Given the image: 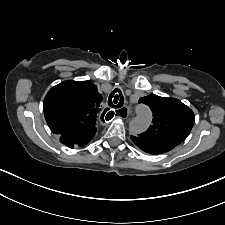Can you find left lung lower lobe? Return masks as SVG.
<instances>
[{"label": "left lung lower lobe", "instance_id": "obj_1", "mask_svg": "<svg viewBox=\"0 0 225 225\" xmlns=\"http://www.w3.org/2000/svg\"><path fill=\"white\" fill-rule=\"evenodd\" d=\"M131 139L141 150L153 155L168 152L176 147L174 144L152 142L139 138L138 136H131Z\"/></svg>", "mask_w": 225, "mask_h": 225}]
</instances>
